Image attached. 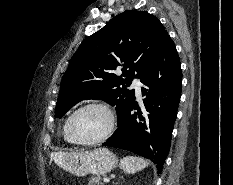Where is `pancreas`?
<instances>
[{"label":"pancreas","mask_w":233,"mask_h":185,"mask_svg":"<svg viewBox=\"0 0 233 185\" xmlns=\"http://www.w3.org/2000/svg\"><path fill=\"white\" fill-rule=\"evenodd\" d=\"M100 180L101 177L99 175L95 177H91L88 180V185H103V183Z\"/></svg>","instance_id":"obj_1"}]
</instances>
